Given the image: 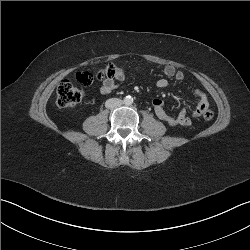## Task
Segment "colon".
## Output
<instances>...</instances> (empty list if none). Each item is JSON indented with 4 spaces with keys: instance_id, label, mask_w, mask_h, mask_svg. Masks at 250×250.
<instances>
[{
    "instance_id": "colon-1",
    "label": "colon",
    "mask_w": 250,
    "mask_h": 250,
    "mask_svg": "<svg viewBox=\"0 0 250 250\" xmlns=\"http://www.w3.org/2000/svg\"><path fill=\"white\" fill-rule=\"evenodd\" d=\"M119 74H123V70L113 64H110L96 73L97 79L113 78ZM77 80L82 85H89L93 80L92 74L88 72H81L77 74ZM83 91L69 80H63L57 90V104L62 108L72 107L83 99ZM205 120H211L213 118V112L210 109L204 110L202 113Z\"/></svg>"
}]
</instances>
